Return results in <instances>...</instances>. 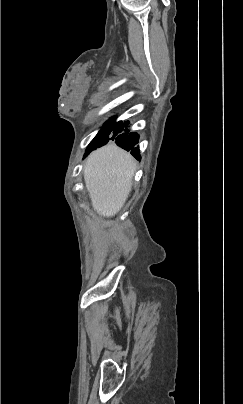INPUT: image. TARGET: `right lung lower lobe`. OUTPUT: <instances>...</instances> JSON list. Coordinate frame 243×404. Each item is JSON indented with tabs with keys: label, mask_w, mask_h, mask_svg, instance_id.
<instances>
[{
	"label": "right lung lower lobe",
	"mask_w": 243,
	"mask_h": 404,
	"mask_svg": "<svg viewBox=\"0 0 243 404\" xmlns=\"http://www.w3.org/2000/svg\"><path fill=\"white\" fill-rule=\"evenodd\" d=\"M129 124V122H117L115 123L112 132L109 136V140H115V143L127 150V151H131V154L138 160H140V154H139V148L138 147H134L137 143H138V139L139 136L134 133H127L128 130H125L124 127H127V125ZM126 131V132H123Z\"/></svg>",
	"instance_id": "98d812e1"
}]
</instances>
